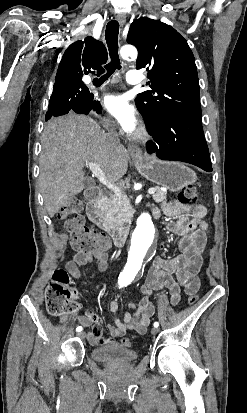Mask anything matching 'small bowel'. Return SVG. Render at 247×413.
Instances as JSON below:
<instances>
[{
	"label": "small bowel",
	"instance_id": "1",
	"mask_svg": "<svg viewBox=\"0 0 247 413\" xmlns=\"http://www.w3.org/2000/svg\"><path fill=\"white\" fill-rule=\"evenodd\" d=\"M161 212L171 219L168 230L179 236L182 254L171 260H166L160 256L156 257L140 286V291L145 295V298L140 301L138 310H136L137 306L135 304H130L128 306L129 310L124 313L122 320L114 317V324L108 327L110 333L108 339H104L101 334H97L100 327L95 326L87 334V340L91 345L107 344L109 349H116L118 347L116 339L122 337L127 331L144 334L154 314V307L149 300V296L153 291L166 288L169 291L172 305H177L180 301V286H186L184 292L186 299L194 298L195 293L198 292L200 282L189 279L196 276L202 265V253L206 245L207 233V224L203 221L205 209L201 205L164 203L161 209L154 208L152 213L157 218ZM106 250L91 253L75 252L65 264L70 276L74 279L80 278L81 267L92 261L96 263L99 271H106L108 268ZM73 292L74 297L78 298V292ZM109 310L113 314L116 313L118 303L111 301ZM97 316L96 310H89L82 316H63L60 318V322L75 321L81 327H87L98 323Z\"/></svg>",
	"mask_w": 247,
	"mask_h": 413
}]
</instances>
